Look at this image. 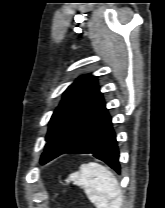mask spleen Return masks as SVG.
<instances>
[{"instance_id": "spleen-1", "label": "spleen", "mask_w": 165, "mask_h": 208, "mask_svg": "<svg viewBox=\"0 0 165 208\" xmlns=\"http://www.w3.org/2000/svg\"><path fill=\"white\" fill-rule=\"evenodd\" d=\"M84 189L90 202L97 208H121L122 191L116 177L103 165L90 162L82 164L79 171L71 173L66 182Z\"/></svg>"}]
</instances>
